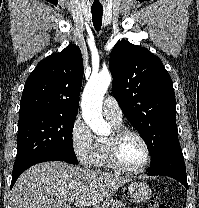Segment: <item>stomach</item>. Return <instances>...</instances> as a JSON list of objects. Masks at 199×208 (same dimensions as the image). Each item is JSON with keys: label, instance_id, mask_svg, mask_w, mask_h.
<instances>
[{"label": "stomach", "instance_id": "obj_1", "mask_svg": "<svg viewBox=\"0 0 199 208\" xmlns=\"http://www.w3.org/2000/svg\"><path fill=\"white\" fill-rule=\"evenodd\" d=\"M129 196L135 203H144L152 196V191L144 182H132L128 186Z\"/></svg>", "mask_w": 199, "mask_h": 208}]
</instances>
